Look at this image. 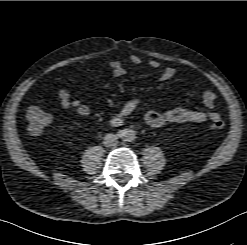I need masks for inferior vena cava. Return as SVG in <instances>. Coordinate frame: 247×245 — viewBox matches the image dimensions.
<instances>
[{
  "label": "inferior vena cava",
  "mask_w": 247,
  "mask_h": 245,
  "mask_svg": "<svg viewBox=\"0 0 247 245\" xmlns=\"http://www.w3.org/2000/svg\"><path fill=\"white\" fill-rule=\"evenodd\" d=\"M103 143L106 147L115 146L118 143V135L115 133L106 134Z\"/></svg>",
  "instance_id": "obj_1"
}]
</instances>
